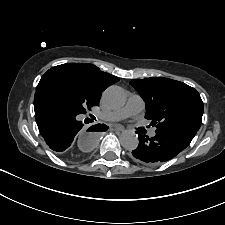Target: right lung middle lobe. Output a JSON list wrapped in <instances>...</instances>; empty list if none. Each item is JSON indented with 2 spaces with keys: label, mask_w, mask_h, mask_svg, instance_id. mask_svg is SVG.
<instances>
[{
  "label": "right lung middle lobe",
  "mask_w": 225,
  "mask_h": 225,
  "mask_svg": "<svg viewBox=\"0 0 225 225\" xmlns=\"http://www.w3.org/2000/svg\"><path fill=\"white\" fill-rule=\"evenodd\" d=\"M36 92L61 102L78 114H84L87 109L90 110L96 105L84 86L62 73H45L38 83Z\"/></svg>",
  "instance_id": "right-lung-middle-lobe-1"
}]
</instances>
